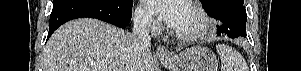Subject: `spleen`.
<instances>
[{
  "label": "spleen",
  "instance_id": "1",
  "mask_svg": "<svg viewBox=\"0 0 301 71\" xmlns=\"http://www.w3.org/2000/svg\"><path fill=\"white\" fill-rule=\"evenodd\" d=\"M217 52L221 59V71H249L242 55L227 44H218Z\"/></svg>",
  "mask_w": 301,
  "mask_h": 71
}]
</instances>
